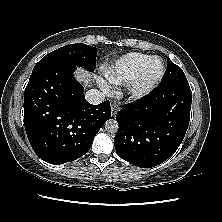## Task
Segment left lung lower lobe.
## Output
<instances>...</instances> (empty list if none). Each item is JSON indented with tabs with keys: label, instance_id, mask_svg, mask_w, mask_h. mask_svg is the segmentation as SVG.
I'll return each instance as SVG.
<instances>
[{
	"label": "left lung lower lobe",
	"instance_id": "left-lung-lower-lobe-1",
	"mask_svg": "<svg viewBox=\"0 0 222 222\" xmlns=\"http://www.w3.org/2000/svg\"><path fill=\"white\" fill-rule=\"evenodd\" d=\"M192 92L189 84H160L139 100L122 105L114 138L117 154L129 163L150 168L178 149L188 128Z\"/></svg>",
	"mask_w": 222,
	"mask_h": 222
}]
</instances>
